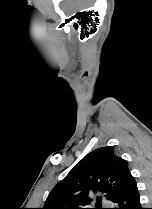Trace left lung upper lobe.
Masks as SVG:
<instances>
[{
	"label": "left lung upper lobe",
	"mask_w": 152,
	"mask_h": 209,
	"mask_svg": "<svg viewBox=\"0 0 152 209\" xmlns=\"http://www.w3.org/2000/svg\"><path fill=\"white\" fill-rule=\"evenodd\" d=\"M130 176L128 163L116 156L112 147L98 148L54 187L43 209H87L92 197L100 192L112 201ZM96 209H101V197L97 198Z\"/></svg>",
	"instance_id": "obj_1"
}]
</instances>
